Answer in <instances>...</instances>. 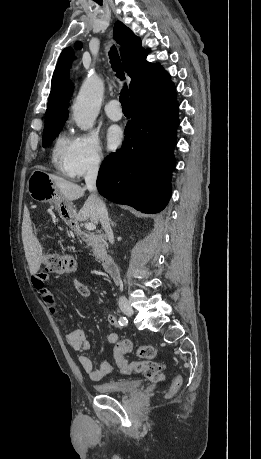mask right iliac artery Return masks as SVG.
<instances>
[{"instance_id":"obj_1","label":"right iliac artery","mask_w":261,"mask_h":459,"mask_svg":"<svg viewBox=\"0 0 261 459\" xmlns=\"http://www.w3.org/2000/svg\"><path fill=\"white\" fill-rule=\"evenodd\" d=\"M119 324H120L121 326H126V325L128 324L127 318L124 317V316L120 317V318H119Z\"/></svg>"}]
</instances>
